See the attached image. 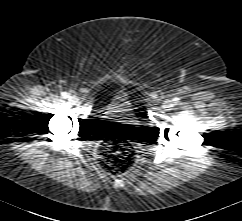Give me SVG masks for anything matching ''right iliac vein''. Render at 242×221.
Instances as JSON below:
<instances>
[{
  "label": "right iliac vein",
  "mask_w": 242,
  "mask_h": 221,
  "mask_svg": "<svg viewBox=\"0 0 242 221\" xmlns=\"http://www.w3.org/2000/svg\"><path fill=\"white\" fill-rule=\"evenodd\" d=\"M71 102H72L73 104H75V103H77V102H78V100H77V98H76V97H71Z\"/></svg>",
  "instance_id": "obj_1"
}]
</instances>
